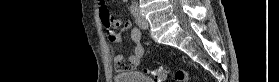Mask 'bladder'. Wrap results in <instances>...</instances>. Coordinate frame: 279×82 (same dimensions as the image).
Wrapping results in <instances>:
<instances>
[{
  "instance_id": "31cf9c89",
  "label": "bladder",
  "mask_w": 279,
  "mask_h": 82,
  "mask_svg": "<svg viewBox=\"0 0 279 82\" xmlns=\"http://www.w3.org/2000/svg\"><path fill=\"white\" fill-rule=\"evenodd\" d=\"M116 82H154L140 72H122L114 77Z\"/></svg>"
}]
</instances>
